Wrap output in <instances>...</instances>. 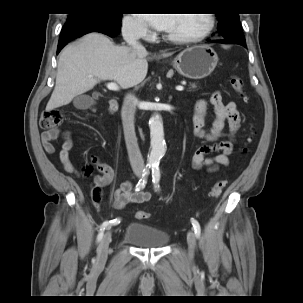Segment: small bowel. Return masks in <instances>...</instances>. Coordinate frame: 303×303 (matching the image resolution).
<instances>
[{
	"label": "small bowel",
	"instance_id": "c3829d8e",
	"mask_svg": "<svg viewBox=\"0 0 303 303\" xmlns=\"http://www.w3.org/2000/svg\"><path fill=\"white\" fill-rule=\"evenodd\" d=\"M207 102L213 105L215 109L214 120L209 130L205 129ZM242 120L243 116L236 103H225L219 92L213 93L209 99H198L194 104L193 132L198 138L205 140L208 144L200 146L194 151L190 160L191 167L195 170L207 169L215 171L219 166H227L229 164V155L233 150L234 136ZM226 122L229 124L230 131L228 138L224 140L221 134ZM60 136L61 131L59 129H51L42 133V146L47 153L56 152L54 141ZM71 148V141L64 142L58 152L59 160L67 172L78 174L77 169L69 158ZM98 170L99 174L93 178L94 184L98 187H106L111 184L114 178L111 166L105 163H98ZM110 197L113 205L121 209L129 204L146 202L151 198V195L141 190L136 191L134 184L127 180L114 189Z\"/></svg>",
	"mask_w": 303,
	"mask_h": 303
}]
</instances>
